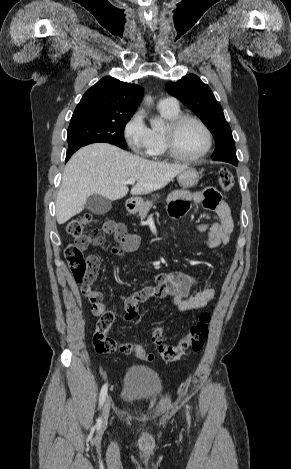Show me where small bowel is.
I'll list each match as a JSON object with an SVG mask.
<instances>
[{
	"mask_svg": "<svg viewBox=\"0 0 291 469\" xmlns=\"http://www.w3.org/2000/svg\"><path fill=\"white\" fill-rule=\"evenodd\" d=\"M191 202L202 204L204 208L217 215L218 220L197 225L191 232L190 239L199 233L208 232L207 246L216 248L229 242L234 228V222L228 203L214 188H206L202 191L188 192L176 191L169 198L168 212L173 218L182 217L189 208ZM102 238L105 234L114 235L119 244L116 252H132L140 245L138 235L129 233L122 223L114 221L106 222L102 229ZM98 242L91 243L98 245ZM91 262L99 267L96 256L89 257ZM197 285L196 279L184 272L175 271L161 273L156 277V285L147 286L135 292L125 300V315L123 321L134 322L139 317L138 304L149 298H170L173 304L181 312L199 310L206 306L216 294L215 289L207 288L191 295V290ZM102 298V294L96 291Z\"/></svg>",
	"mask_w": 291,
	"mask_h": 469,
	"instance_id": "c3829d8e",
	"label": "small bowel"
}]
</instances>
